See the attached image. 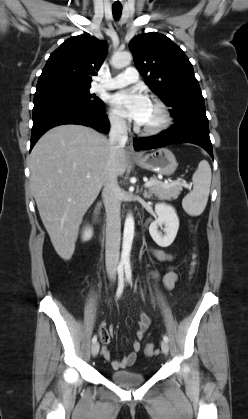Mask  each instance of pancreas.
<instances>
[{
    "label": "pancreas",
    "instance_id": "cf45deb5",
    "mask_svg": "<svg viewBox=\"0 0 248 419\" xmlns=\"http://www.w3.org/2000/svg\"><path fill=\"white\" fill-rule=\"evenodd\" d=\"M150 180L156 181L157 184L151 186L149 191L151 194H154L161 200L171 201L172 199H177L182 191V186L180 184H162L157 178L151 177Z\"/></svg>",
    "mask_w": 248,
    "mask_h": 419
}]
</instances>
